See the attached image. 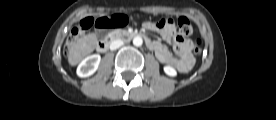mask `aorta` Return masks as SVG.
Returning <instances> with one entry per match:
<instances>
[{
	"mask_svg": "<svg viewBox=\"0 0 276 120\" xmlns=\"http://www.w3.org/2000/svg\"><path fill=\"white\" fill-rule=\"evenodd\" d=\"M143 44V39L140 36H136L133 38V45L136 47H140Z\"/></svg>",
	"mask_w": 276,
	"mask_h": 120,
	"instance_id": "762f6f07",
	"label": "aorta"
}]
</instances>
